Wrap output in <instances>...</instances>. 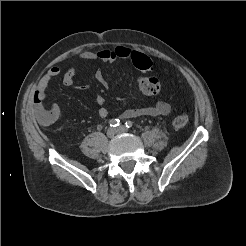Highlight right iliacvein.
<instances>
[{
    "label": "right iliac vein",
    "instance_id": "obj_1",
    "mask_svg": "<svg viewBox=\"0 0 246 246\" xmlns=\"http://www.w3.org/2000/svg\"><path fill=\"white\" fill-rule=\"evenodd\" d=\"M116 129H114V128H109L108 130H107V136L109 137V138H113L114 136H115V134H116Z\"/></svg>",
    "mask_w": 246,
    "mask_h": 246
}]
</instances>
